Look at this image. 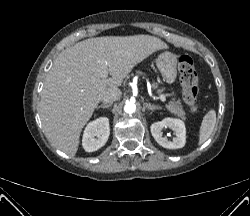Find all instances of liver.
Wrapping results in <instances>:
<instances>
[{
    "mask_svg": "<svg viewBox=\"0 0 250 216\" xmlns=\"http://www.w3.org/2000/svg\"><path fill=\"white\" fill-rule=\"evenodd\" d=\"M167 44L150 35L89 38L63 50L48 72L39 113L51 142L74 156L101 95L121 86L135 65ZM107 63L111 78H101Z\"/></svg>",
    "mask_w": 250,
    "mask_h": 216,
    "instance_id": "1",
    "label": "liver"
}]
</instances>
